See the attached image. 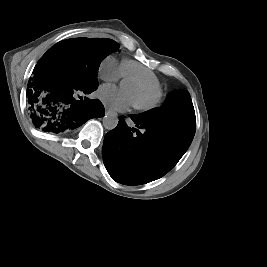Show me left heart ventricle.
Returning a JSON list of instances; mask_svg holds the SVG:
<instances>
[{
  "label": "left heart ventricle",
  "instance_id": "b2bd125f",
  "mask_svg": "<svg viewBox=\"0 0 267 267\" xmlns=\"http://www.w3.org/2000/svg\"><path fill=\"white\" fill-rule=\"evenodd\" d=\"M125 88L131 94L134 102L142 103L149 100L152 96L146 86L138 85L134 82H127Z\"/></svg>",
  "mask_w": 267,
  "mask_h": 267
}]
</instances>
